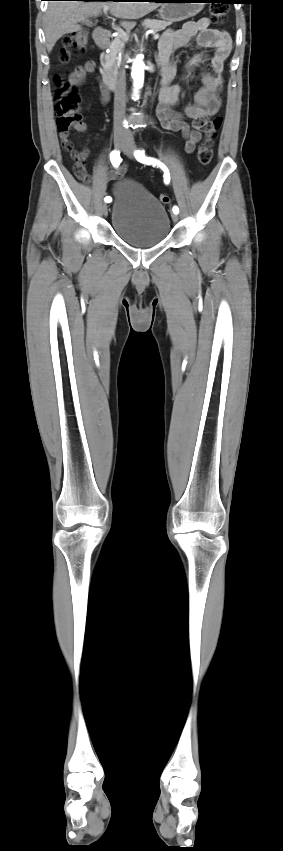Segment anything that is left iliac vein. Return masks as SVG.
<instances>
[{
	"label": "left iliac vein",
	"mask_w": 283,
	"mask_h": 851,
	"mask_svg": "<svg viewBox=\"0 0 283 851\" xmlns=\"http://www.w3.org/2000/svg\"><path fill=\"white\" fill-rule=\"evenodd\" d=\"M123 152L129 158H133L134 146L132 144H126L124 146ZM171 217H172L173 222L176 223L178 221V215L177 214L173 213Z\"/></svg>",
	"instance_id": "obj_1"
}]
</instances>
